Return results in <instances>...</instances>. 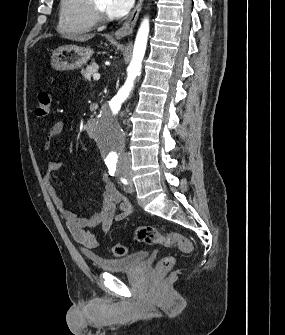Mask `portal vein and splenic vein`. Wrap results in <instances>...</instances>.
<instances>
[{"label":"portal vein and splenic vein","instance_id":"portal-vein-and-splenic-vein-1","mask_svg":"<svg viewBox=\"0 0 285 335\" xmlns=\"http://www.w3.org/2000/svg\"><path fill=\"white\" fill-rule=\"evenodd\" d=\"M93 80H100V74H93Z\"/></svg>","mask_w":285,"mask_h":335}]
</instances>
